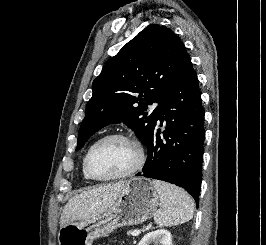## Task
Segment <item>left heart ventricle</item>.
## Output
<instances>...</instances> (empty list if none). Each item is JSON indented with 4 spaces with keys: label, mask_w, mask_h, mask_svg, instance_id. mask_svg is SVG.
Returning a JSON list of instances; mask_svg holds the SVG:
<instances>
[{
    "label": "left heart ventricle",
    "mask_w": 266,
    "mask_h": 245,
    "mask_svg": "<svg viewBox=\"0 0 266 245\" xmlns=\"http://www.w3.org/2000/svg\"><path fill=\"white\" fill-rule=\"evenodd\" d=\"M137 156V148L132 143L113 138L96 147L91 155L90 167L102 178L118 176L134 166Z\"/></svg>",
    "instance_id": "b2bd125f"
}]
</instances>
